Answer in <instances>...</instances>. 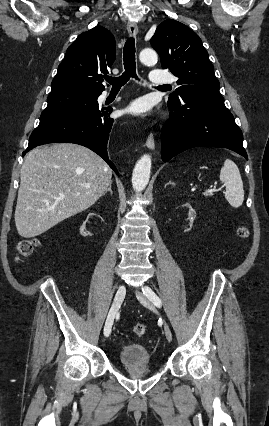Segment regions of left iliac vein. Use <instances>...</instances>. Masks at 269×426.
Wrapping results in <instances>:
<instances>
[{
  "mask_svg": "<svg viewBox=\"0 0 269 426\" xmlns=\"http://www.w3.org/2000/svg\"><path fill=\"white\" fill-rule=\"evenodd\" d=\"M136 296L142 305H144L145 307L149 309H154V306L152 305V303L141 292H136ZM164 333H165L166 339L169 342H171L172 333L167 323H164Z\"/></svg>",
  "mask_w": 269,
  "mask_h": 426,
  "instance_id": "4c4485c4",
  "label": "left iliac vein"
}]
</instances>
